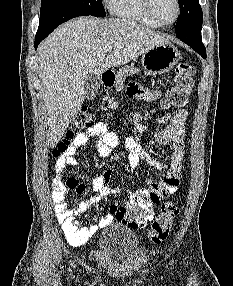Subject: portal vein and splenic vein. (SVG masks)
Returning a JSON list of instances; mask_svg holds the SVG:
<instances>
[{
    "label": "portal vein and splenic vein",
    "mask_w": 233,
    "mask_h": 286,
    "mask_svg": "<svg viewBox=\"0 0 233 286\" xmlns=\"http://www.w3.org/2000/svg\"><path fill=\"white\" fill-rule=\"evenodd\" d=\"M112 50V46H105L104 47V51L105 52H109V51H111Z\"/></svg>",
    "instance_id": "18ae733b"
}]
</instances>
